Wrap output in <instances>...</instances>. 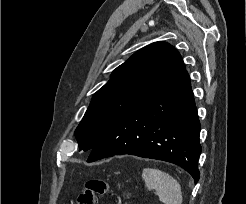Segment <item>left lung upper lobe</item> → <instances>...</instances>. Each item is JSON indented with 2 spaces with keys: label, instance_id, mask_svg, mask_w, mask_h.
<instances>
[{
  "label": "left lung upper lobe",
  "instance_id": "5c2ea615",
  "mask_svg": "<svg viewBox=\"0 0 246 204\" xmlns=\"http://www.w3.org/2000/svg\"><path fill=\"white\" fill-rule=\"evenodd\" d=\"M185 70L178 51L154 42L117 67L93 96L75 131L79 150H91L124 115Z\"/></svg>",
  "mask_w": 246,
  "mask_h": 204
}]
</instances>
